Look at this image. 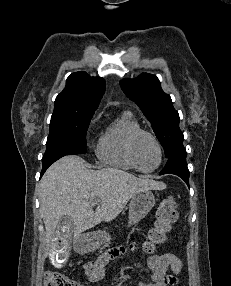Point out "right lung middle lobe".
Returning a JSON list of instances; mask_svg holds the SVG:
<instances>
[{
  "label": "right lung middle lobe",
  "mask_w": 231,
  "mask_h": 286,
  "mask_svg": "<svg viewBox=\"0 0 231 286\" xmlns=\"http://www.w3.org/2000/svg\"><path fill=\"white\" fill-rule=\"evenodd\" d=\"M94 112H55L42 162L86 153V131Z\"/></svg>",
  "instance_id": "1"
}]
</instances>
